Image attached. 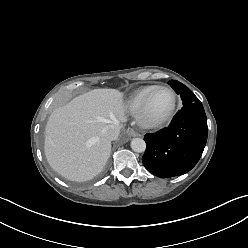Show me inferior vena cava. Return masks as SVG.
Here are the masks:
<instances>
[{
	"instance_id": "602c4592",
	"label": "inferior vena cava",
	"mask_w": 248,
	"mask_h": 248,
	"mask_svg": "<svg viewBox=\"0 0 248 248\" xmlns=\"http://www.w3.org/2000/svg\"><path fill=\"white\" fill-rule=\"evenodd\" d=\"M120 128H121V126H120L119 122L109 124L103 129V134L107 139H109L111 141L115 140V139H117V137L119 135Z\"/></svg>"
}]
</instances>
